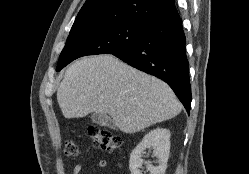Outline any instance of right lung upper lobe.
Masks as SVG:
<instances>
[{
	"label": "right lung upper lobe",
	"instance_id": "cb5924a9",
	"mask_svg": "<svg viewBox=\"0 0 249 174\" xmlns=\"http://www.w3.org/2000/svg\"><path fill=\"white\" fill-rule=\"evenodd\" d=\"M174 0H86L70 32L124 20H149L177 14Z\"/></svg>",
	"mask_w": 249,
	"mask_h": 174
}]
</instances>
